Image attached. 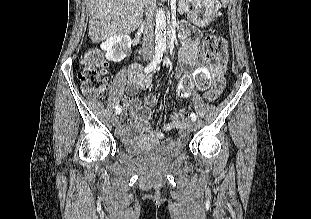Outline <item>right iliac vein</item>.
I'll return each instance as SVG.
<instances>
[{
  "label": "right iliac vein",
  "instance_id": "right-iliac-vein-1",
  "mask_svg": "<svg viewBox=\"0 0 311 219\" xmlns=\"http://www.w3.org/2000/svg\"><path fill=\"white\" fill-rule=\"evenodd\" d=\"M146 59H148V57H146ZM112 124H113L114 126H118V124H119V119H118V116H117V115H114V116L112 117Z\"/></svg>",
  "mask_w": 311,
  "mask_h": 219
}]
</instances>
